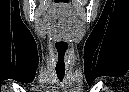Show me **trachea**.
Masks as SVG:
<instances>
[{"instance_id":"obj_1","label":"trachea","mask_w":129,"mask_h":92,"mask_svg":"<svg viewBox=\"0 0 129 92\" xmlns=\"http://www.w3.org/2000/svg\"><path fill=\"white\" fill-rule=\"evenodd\" d=\"M57 77L60 81L64 79L65 71H56Z\"/></svg>"}]
</instances>
